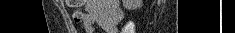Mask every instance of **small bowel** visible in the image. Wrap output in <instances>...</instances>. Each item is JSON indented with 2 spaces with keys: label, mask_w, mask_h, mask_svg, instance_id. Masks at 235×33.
<instances>
[{
  "label": "small bowel",
  "mask_w": 235,
  "mask_h": 33,
  "mask_svg": "<svg viewBox=\"0 0 235 33\" xmlns=\"http://www.w3.org/2000/svg\"><path fill=\"white\" fill-rule=\"evenodd\" d=\"M123 14L117 0H88L82 24L86 33H94L100 27L105 33H118Z\"/></svg>",
  "instance_id": "small-bowel-1"
}]
</instances>
